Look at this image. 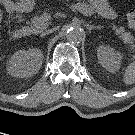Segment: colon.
<instances>
[{
    "label": "colon",
    "instance_id": "obj_1",
    "mask_svg": "<svg viewBox=\"0 0 135 135\" xmlns=\"http://www.w3.org/2000/svg\"><path fill=\"white\" fill-rule=\"evenodd\" d=\"M127 20L131 27L135 28V9H130L127 14Z\"/></svg>",
    "mask_w": 135,
    "mask_h": 135
}]
</instances>
